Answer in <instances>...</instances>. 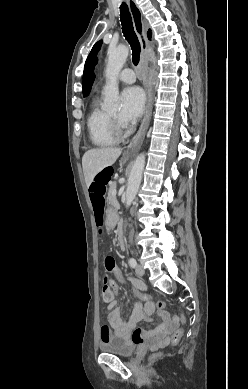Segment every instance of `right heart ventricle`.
Masks as SVG:
<instances>
[{
	"mask_svg": "<svg viewBox=\"0 0 248 389\" xmlns=\"http://www.w3.org/2000/svg\"><path fill=\"white\" fill-rule=\"evenodd\" d=\"M87 130L92 144L99 147H109L116 143L111 115L104 111L95 100L87 117Z\"/></svg>",
	"mask_w": 248,
	"mask_h": 389,
	"instance_id": "right-heart-ventricle-1",
	"label": "right heart ventricle"
}]
</instances>
